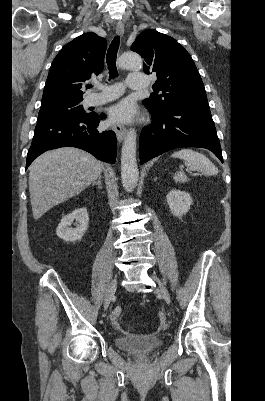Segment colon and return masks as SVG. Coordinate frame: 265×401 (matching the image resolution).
<instances>
[{"instance_id":"colon-1","label":"colon","mask_w":265,"mask_h":401,"mask_svg":"<svg viewBox=\"0 0 265 401\" xmlns=\"http://www.w3.org/2000/svg\"><path fill=\"white\" fill-rule=\"evenodd\" d=\"M122 313H123V309L121 307H116L113 310L112 315H111L112 321L115 322L117 320V318H119L122 315Z\"/></svg>"}]
</instances>
